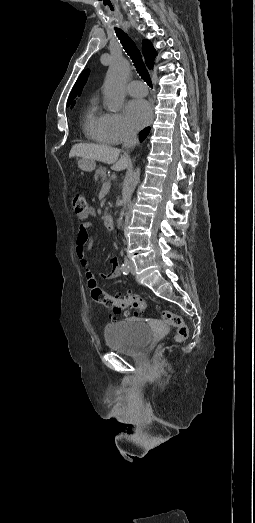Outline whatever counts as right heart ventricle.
<instances>
[{
	"mask_svg": "<svg viewBox=\"0 0 255 523\" xmlns=\"http://www.w3.org/2000/svg\"><path fill=\"white\" fill-rule=\"evenodd\" d=\"M84 133L90 141L100 145L114 144L118 139L112 128L111 114L97 102H92L86 113Z\"/></svg>",
	"mask_w": 255,
	"mask_h": 523,
	"instance_id": "right-heart-ventricle-1",
	"label": "right heart ventricle"
}]
</instances>
